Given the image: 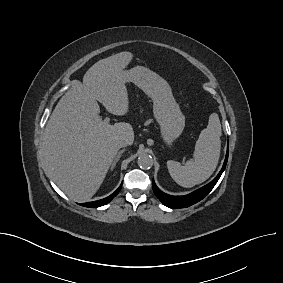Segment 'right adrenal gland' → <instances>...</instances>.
I'll list each match as a JSON object with an SVG mask.
<instances>
[{"label": "right adrenal gland", "instance_id": "obj_1", "mask_svg": "<svg viewBox=\"0 0 283 283\" xmlns=\"http://www.w3.org/2000/svg\"><path fill=\"white\" fill-rule=\"evenodd\" d=\"M124 152H125V149H122L121 151L118 152V154L116 155V157L114 158L111 164V171L115 168L116 164L118 163L120 157L122 156Z\"/></svg>", "mask_w": 283, "mask_h": 283}]
</instances>
